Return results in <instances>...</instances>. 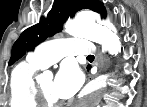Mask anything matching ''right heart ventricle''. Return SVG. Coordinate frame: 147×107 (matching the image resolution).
Instances as JSON below:
<instances>
[{"label": "right heart ventricle", "mask_w": 147, "mask_h": 107, "mask_svg": "<svg viewBox=\"0 0 147 107\" xmlns=\"http://www.w3.org/2000/svg\"><path fill=\"white\" fill-rule=\"evenodd\" d=\"M44 67L27 59L11 73L9 97L12 107H38L33 96L35 73Z\"/></svg>", "instance_id": "1"}]
</instances>
